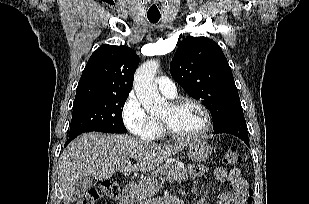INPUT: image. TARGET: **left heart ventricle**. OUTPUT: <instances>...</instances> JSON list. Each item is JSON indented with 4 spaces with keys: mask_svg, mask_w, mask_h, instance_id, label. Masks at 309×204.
I'll return each mask as SVG.
<instances>
[{
    "mask_svg": "<svg viewBox=\"0 0 309 204\" xmlns=\"http://www.w3.org/2000/svg\"><path fill=\"white\" fill-rule=\"evenodd\" d=\"M171 128L179 134H194L204 126V115L194 104H184L178 108H172L170 104L161 113Z\"/></svg>",
    "mask_w": 309,
    "mask_h": 204,
    "instance_id": "1",
    "label": "left heart ventricle"
}]
</instances>
